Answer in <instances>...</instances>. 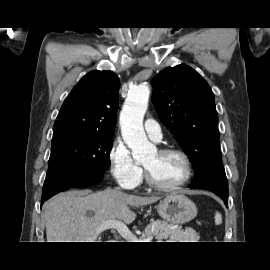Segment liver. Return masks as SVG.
<instances>
[{
  "mask_svg": "<svg viewBox=\"0 0 270 270\" xmlns=\"http://www.w3.org/2000/svg\"><path fill=\"white\" fill-rule=\"evenodd\" d=\"M160 197L130 195L114 189L92 193L89 190L58 194L46 203L47 242H99L97 228L108 220L132 223L131 207L158 201Z\"/></svg>",
  "mask_w": 270,
  "mask_h": 270,
  "instance_id": "liver-1",
  "label": "liver"
}]
</instances>
